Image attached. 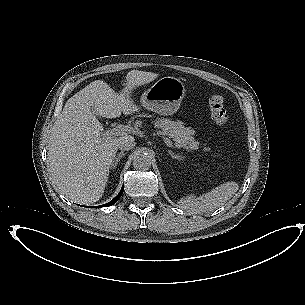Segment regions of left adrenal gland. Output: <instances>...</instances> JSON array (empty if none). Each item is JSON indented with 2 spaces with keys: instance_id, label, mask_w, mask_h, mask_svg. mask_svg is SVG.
<instances>
[{
  "instance_id": "obj_1",
  "label": "left adrenal gland",
  "mask_w": 305,
  "mask_h": 305,
  "mask_svg": "<svg viewBox=\"0 0 305 305\" xmlns=\"http://www.w3.org/2000/svg\"><path fill=\"white\" fill-rule=\"evenodd\" d=\"M168 153L173 159H180L182 157L181 155L175 154L173 151H168Z\"/></svg>"
}]
</instances>
